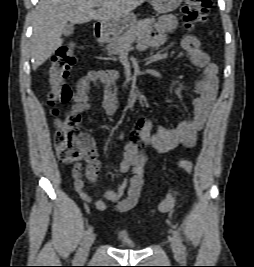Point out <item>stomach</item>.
<instances>
[{
  "mask_svg": "<svg viewBox=\"0 0 254 267\" xmlns=\"http://www.w3.org/2000/svg\"><path fill=\"white\" fill-rule=\"evenodd\" d=\"M183 0H152V6L158 13H169L177 9ZM137 18L134 14L127 16L102 21L100 24V37L108 40L110 37L120 35L125 30L129 29Z\"/></svg>",
  "mask_w": 254,
  "mask_h": 267,
  "instance_id": "1",
  "label": "stomach"
}]
</instances>
